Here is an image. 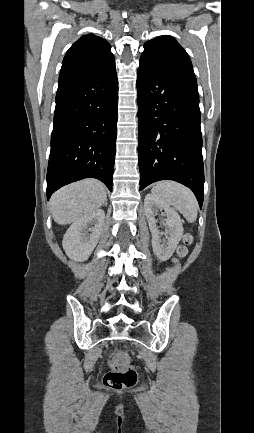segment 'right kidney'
<instances>
[{"label":"right kidney","mask_w":254,"mask_h":433,"mask_svg":"<svg viewBox=\"0 0 254 433\" xmlns=\"http://www.w3.org/2000/svg\"><path fill=\"white\" fill-rule=\"evenodd\" d=\"M104 219L105 212L97 209L73 222L62 242L69 258L75 261H85L89 258L98 243ZM89 225L93 226L88 229ZM88 231L91 233L89 234Z\"/></svg>","instance_id":"obj_1"}]
</instances>
